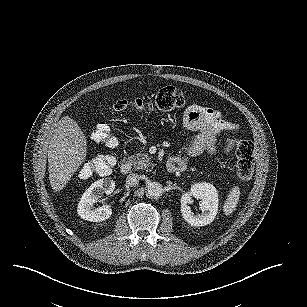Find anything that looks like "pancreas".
<instances>
[{
    "label": "pancreas",
    "instance_id": "pancreas-1",
    "mask_svg": "<svg viewBox=\"0 0 307 307\" xmlns=\"http://www.w3.org/2000/svg\"><path fill=\"white\" fill-rule=\"evenodd\" d=\"M151 159L147 153L143 152L128 157V161L132 163L135 170H149V168H153L155 164Z\"/></svg>",
    "mask_w": 307,
    "mask_h": 307
}]
</instances>
